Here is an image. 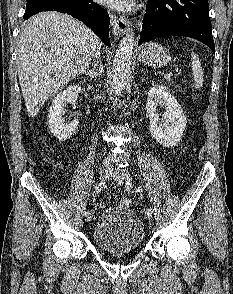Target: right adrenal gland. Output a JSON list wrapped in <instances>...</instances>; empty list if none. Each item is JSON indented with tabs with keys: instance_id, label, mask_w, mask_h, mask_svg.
<instances>
[{
	"instance_id": "obj_1",
	"label": "right adrenal gland",
	"mask_w": 233,
	"mask_h": 294,
	"mask_svg": "<svg viewBox=\"0 0 233 294\" xmlns=\"http://www.w3.org/2000/svg\"><path fill=\"white\" fill-rule=\"evenodd\" d=\"M102 71H103V68H102V64L100 63L99 67L94 70H88V71H85V74L90 76L91 79H96L98 76H100L102 74Z\"/></svg>"
}]
</instances>
